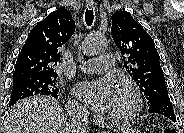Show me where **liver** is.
Returning a JSON list of instances; mask_svg holds the SVG:
<instances>
[{"mask_svg": "<svg viewBox=\"0 0 184 133\" xmlns=\"http://www.w3.org/2000/svg\"><path fill=\"white\" fill-rule=\"evenodd\" d=\"M4 133H70L63 109L52 97L33 96L17 102L4 122Z\"/></svg>", "mask_w": 184, "mask_h": 133, "instance_id": "6515ba94", "label": "liver"}]
</instances>
